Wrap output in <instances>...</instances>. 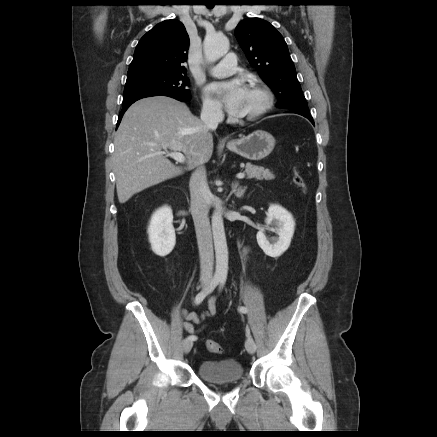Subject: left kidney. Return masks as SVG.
Wrapping results in <instances>:
<instances>
[{"label": "left kidney", "mask_w": 437, "mask_h": 437, "mask_svg": "<svg viewBox=\"0 0 437 437\" xmlns=\"http://www.w3.org/2000/svg\"><path fill=\"white\" fill-rule=\"evenodd\" d=\"M266 226L257 233V242L263 252L270 257L281 256L290 246L294 234L295 221L291 213L283 207L271 204L265 220ZM265 230L275 232L278 238L268 239Z\"/></svg>", "instance_id": "obj_1"}]
</instances>
